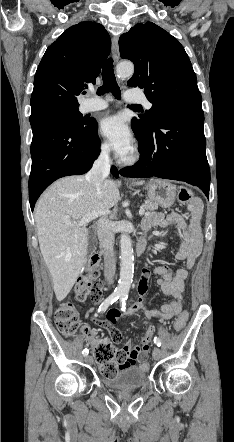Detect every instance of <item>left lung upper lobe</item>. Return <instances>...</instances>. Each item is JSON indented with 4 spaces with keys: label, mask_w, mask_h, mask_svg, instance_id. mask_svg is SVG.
<instances>
[{
    "label": "left lung upper lobe",
    "mask_w": 234,
    "mask_h": 442,
    "mask_svg": "<svg viewBox=\"0 0 234 442\" xmlns=\"http://www.w3.org/2000/svg\"><path fill=\"white\" fill-rule=\"evenodd\" d=\"M120 55L134 63L127 84L144 89L153 104L145 115L133 117L131 127L137 139L148 135L155 123L170 113L202 108L201 94L191 62L183 46L152 22L136 24L120 36Z\"/></svg>",
    "instance_id": "5c2ea615"
}]
</instances>
